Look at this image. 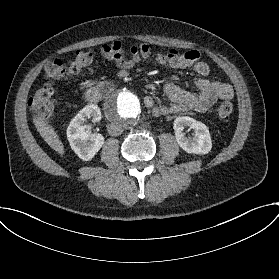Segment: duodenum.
<instances>
[{"mask_svg":"<svg viewBox=\"0 0 279 279\" xmlns=\"http://www.w3.org/2000/svg\"><path fill=\"white\" fill-rule=\"evenodd\" d=\"M115 88V84L112 81H103L98 85L90 87L86 91V101L94 104L97 103L101 97L110 94Z\"/></svg>","mask_w":279,"mask_h":279,"instance_id":"obj_1","label":"duodenum"}]
</instances>
